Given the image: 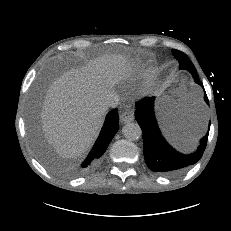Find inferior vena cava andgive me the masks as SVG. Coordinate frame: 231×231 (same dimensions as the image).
<instances>
[{
  "mask_svg": "<svg viewBox=\"0 0 231 231\" xmlns=\"http://www.w3.org/2000/svg\"><path fill=\"white\" fill-rule=\"evenodd\" d=\"M120 97L116 92H110L105 101V105L108 108H115L119 103Z\"/></svg>",
  "mask_w": 231,
  "mask_h": 231,
  "instance_id": "602c4592",
  "label": "inferior vena cava"
}]
</instances>
